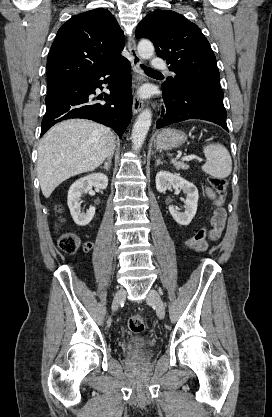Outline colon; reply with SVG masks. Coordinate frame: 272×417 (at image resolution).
<instances>
[{
    "mask_svg": "<svg viewBox=\"0 0 272 417\" xmlns=\"http://www.w3.org/2000/svg\"><path fill=\"white\" fill-rule=\"evenodd\" d=\"M209 184L216 193V198L213 202V207L215 209H218L222 206L225 200L228 183L224 178L212 177L209 180ZM57 210L58 212H61L62 208L58 207ZM208 235L209 229L207 227H204L200 229L193 237L188 239L185 242V246L188 249H195L201 243L206 241ZM59 246L63 252L68 254H73L80 248L88 250L91 247L89 243H83L80 240V238L73 233H62L59 237ZM128 326L132 332H143L147 326L146 318L141 314H134L129 318Z\"/></svg>",
    "mask_w": 272,
    "mask_h": 417,
    "instance_id": "5ec220e1",
    "label": "colon"
}]
</instances>
